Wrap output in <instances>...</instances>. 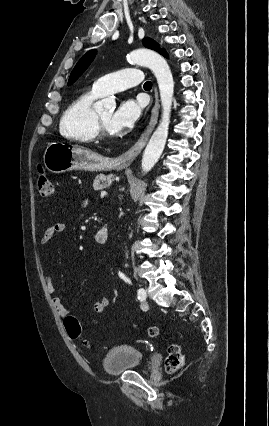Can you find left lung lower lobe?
<instances>
[{
  "label": "left lung lower lobe",
  "mask_w": 269,
  "mask_h": 426,
  "mask_svg": "<svg viewBox=\"0 0 269 426\" xmlns=\"http://www.w3.org/2000/svg\"><path fill=\"white\" fill-rule=\"evenodd\" d=\"M159 53H160V54H162V55H163V56H165V57H167V56H168L164 49H162Z\"/></svg>",
  "instance_id": "left-lung-lower-lobe-1"
}]
</instances>
